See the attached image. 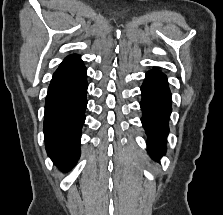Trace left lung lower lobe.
<instances>
[{"mask_svg": "<svg viewBox=\"0 0 223 215\" xmlns=\"http://www.w3.org/2000/svg\"><path fill=\"white\" fill-rule=\"evenodd\" d=\"M141 92V121L148 135V150L150 155L158 160L166 150L165 142L171 113V93L166 76L158 70L148 71Z\"/></svg>", "mask_w": 223, "mask_h": 215, "instance_id": "obj_1", "label": "left lung lower lobe"}]
</instances>
